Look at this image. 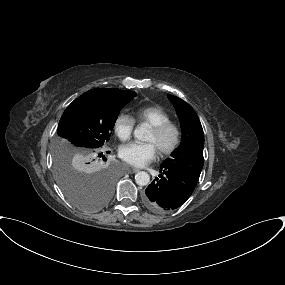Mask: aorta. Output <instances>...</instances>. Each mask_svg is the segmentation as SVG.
Returning a JSON list of instances; mask_svg holds the SVG:
<instances>
[{
  "instance_id": "obj_1",
  "label": "aorta",
  "mask_w": 285,
  "mask_h": 285,
  "mask_svg": "<svg viewBox=\"0 0 285 285\" xmlns=\"http://www.w3.org/2000/svg\"><path fill=\"white\" fill-rule=\"evenodd\" d=\"M149 133V129L145 125L137 126L134 130V137L138 140L145 141ZM150 176L145 171H140L135 175V182L137 185L145 186L149 183Z\"/></svg>"
}]
</instances>
